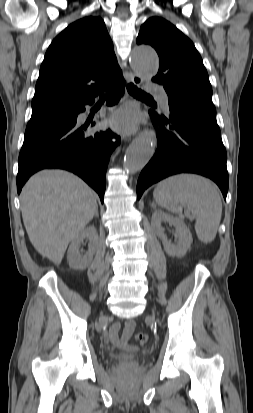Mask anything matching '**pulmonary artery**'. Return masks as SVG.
Returning <instances> with one entry per match:
<instances>
[{
	"label": "pulmonary artery",
	"mask_w": 253,
	"mask_h": 413,
	"mask_svg": "<svg viewBox=\"0 0 253 413\" xmlns=\"http://www.w3.org/2000/svg\"><path fill=\"white\" fill-rule=\"evenodd\" d=\"M147 92L156 95L159 98V101L162 105V107L168 111L169 109V103H168V95L167 93L164 91L163 88H161L158 85L155 84H149L146 87Z\"/></svg>",
	"instance_id": "obj_1"
}]
</instances>
